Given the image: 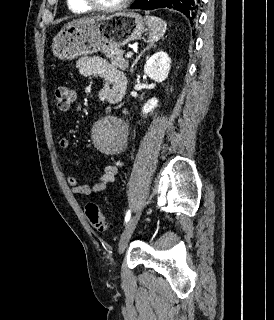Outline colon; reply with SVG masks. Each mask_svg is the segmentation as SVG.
Listing matches in <instances>:
<instances>
[{
    "label": "colon",
    "mask_w": 274,
    "mask_h": 320,
    "mask_svg": "<svg viewBox=\"0 0 274 320\" xmlns=\"http://www.w3.org/2000/svg\"><path fill=\"white\" fill-rule=\"evenodd\" d=\"M53 97L57 109L60 111H65L73 102L74 92L73 89L68 87L66 84H59L53 89ZM85 213L89 222L100 232L107 230V223L99 204L95 202L87 203L85 206Z\"/></svg>",
    "instance_id": "5ec220e1"
}]
</instances>
